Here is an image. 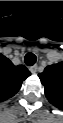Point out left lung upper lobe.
Instances as JSON below:
<instances>
[{"instance_id":"1","label":"left lung upper lobe","mask_w":63,"mask_h":123,"mask_svg":"<svg viewBox=\"0 0 63 123\" xmlns=\"http://www.w3.org/2000/svg\"><path fill=\"white\" fill-rule=\"evenodd\" d=\"M39 78L45 86V95L57 108L63 107V65L62 63L47 66Z\"/></svg>"}]
</instances>
